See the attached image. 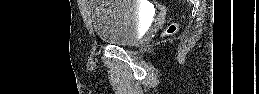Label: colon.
Wrapping results in <instances>:
<instances>
[{
	"mask_svg": "<svg viewBox=\"0 0 259 94\" xmlns=\"http://www.w3.org/2000/svg\"><path fill=\"white\" fill-rule=\"evenodd\" d=\"M175 31V26L172 25L169 27V29L167 30L168 33H173Z\"/></svg>",
	"mask_w": 259,
	"mask_h": 94,
	"instance_id": "colon-1",
	"label": "colon"
}]
</instances>
